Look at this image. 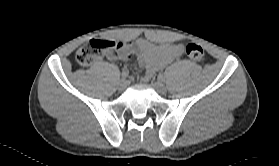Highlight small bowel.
Instances as JSON below:
<instances>
[{"mask_svg": "<svg viewBox=\"0 0 279 166\" xmlns=\"http://www.w3.org/2000/svg\"><path fill=\"white\" fill-rule=\"evenodd\" d=\"M183 47L180 44L162 43L156 44L148 39L137 40L135 47H128L118 52L107 55L110 60L127 59L135 54L139 64L145 70V77L149 79L152 75L182 55Z\"/></svg>", "mask_w": 279, "mask_h": 166, "instance_id": "c3829d8e", "label": "small bowel"}]
</instances>
